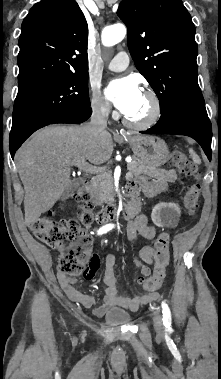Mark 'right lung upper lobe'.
Segmentation results:
<instances>
[{
	"instance_id": "cb5924a9",
	"label": "right lung upper lobe",
	"mask_w": 221,
	"mask_h": 379,
	"mask_svg": "<svg viewBox=\"0 0 221 379\" xmlns=\"http://www.w3.org/2000/svg\"><path fill=\"white\" fill-rule=\"evenodd\" d=\"M88 25L75 0H42L24 19L19 37L18 84L88 73Z\"/></svg>"
}]
</instances>
